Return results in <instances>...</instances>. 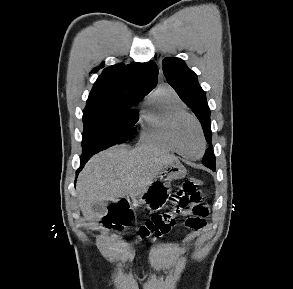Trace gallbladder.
<instances>
[{"label": "gallbladder", "mask_w": 293, "mask_h": 289, "mask_svg": "<svg viewBox=\"0 0 293 289\" xmlns=\"http://www.w3.org/2000/svg\"><path fill=\"white\" fill-rule=\"evenodd\" d=\"M95 214L99 216H104L106 214V209L101 203L94 204L92 207Z\"/></svg>", "instance_id": "1"}]
</instances>
